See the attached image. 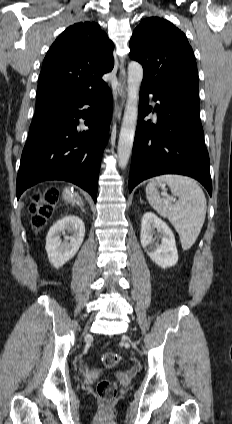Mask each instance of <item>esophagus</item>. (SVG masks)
<instances>
[{
  "label": "esophagus",
  "mask_w": 232,
  "mask_h": 424,
  "mask_svg": "<svg viewBox=\"0 0 232 424\" xmlns=\"http://www.w3.org/2000/svg\"><path fill=\"white\" fill-rule=\"evenodd\" d=\"M121 65L122 66L120 67L118 85L116 88L117 102L114 105L113 117H112L113 122L120 121L122 110L125 104L126 95H127V76H126L125 68L123 66L124 65L123 60H121Z\"/></svg>",
  "instance_id": "esophagus-1"
}]
</instances>
